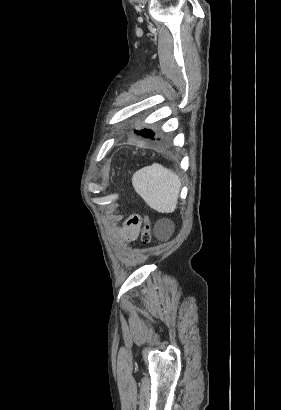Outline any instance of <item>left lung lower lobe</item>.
Instances as JSON below:
<instances>
[{
    "mask_svg": "<svg viewBox=\"0 0 281 410\" xmlns=\"http://www.w3.org/2000/svg\"><path fill=\"white\" fill-rule=\"evenodd\" d=\"M137 134H140L141 136L145 137V138H153L154 133L151 130L148 129H144L141 131H137Z\"/></svg>",
    "mask_w": 281,
    "mask_h": 410,
    "instance_id": "1",
    "label": "left lung lower lobe"
}]
</instances>
